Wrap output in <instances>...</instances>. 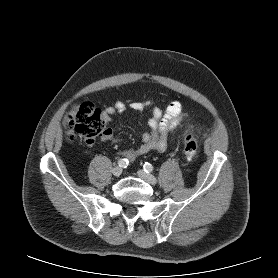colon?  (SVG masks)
I'll return each mask as SVG.
<instances>
[{
  "instance_id": "5ec220e1",
  "label": "colon",
  "mask_w": 278,
  "mask_h": 278,
  "mask_svg": "<svg viewBox=\"0 0 278 278\" xmlns=\"http://www.w3.org/2000/svg\"><path fill=\"white\" fill-rule=\"evenodd\" d=\"M67 126V141L82 139L87 145H93L95 140L106 131V117L103 112L90 102L73 105L65 117ZM183 152L187 159H194L198 154V144L190 132L183 136Z\"/></svg>"
}]
</instances>
